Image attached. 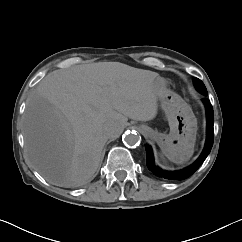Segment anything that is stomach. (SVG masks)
I'll use <instances>...</instances> for the list:
<instances>
[{
  "label": "stomach",
  "instance_id": "stomach-1",
  "mask_svg": "<svg viewBox=\"0 0 242 242\" xmlns=\"http://www.w3.org/2000/svg\"><path fill=\"white\" fill-rule=\"evenodd\" d=\"M158 103L168 119L170 133H159L147 125H141L140 130L154 139L161 149L177 152L188 159L193 152L197 131L196 118L190 106L167 88L158 96Z\"/></svg>",
  "mask_w": 242,
  "mask_h": 242
}]
</instances>
